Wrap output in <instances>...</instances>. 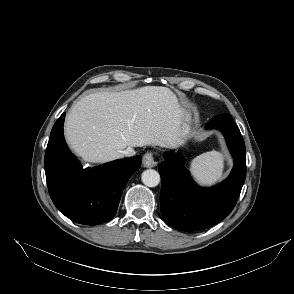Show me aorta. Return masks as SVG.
Listing matches in <instances>:
<instances>
[{
	"instance_id": "aorta-1",
	"label": "aorta",
	"mask_w": 294,
	"mask_h": 294,
	"mask_svg": "<svg viewBox=\"0 0 294 294\" xmlns=\"http://www.w3.org/2000/svg\"><path fill=\"white\" fill-rule=\"evenodd\" d=\"M141 179L143 184L148 187H156L160 183V175L154 169L143 171Z\"/></svg>"
}]
</instances>
